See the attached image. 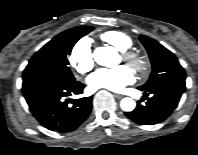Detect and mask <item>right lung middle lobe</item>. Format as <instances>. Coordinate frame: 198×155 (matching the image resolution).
I'll return each instance as SVG.
<instances>
[{
  "label": "right lung middle lobe",
  "mask_w": 198,
  "mask_h": 155,
  "mask_svg": "<svg viewBox=\"0 0 198 155\" xmlns=\"http://www.w3.org/2000/svg\"><path fill=\"white\" fill-rule=\"evenodd\" d=\"M92 30L90 26H79L54 37L30 59L23 72V80L45 78L61 83L75 82L68 67V55L74 44Z\"/></svg>",
  "instance_id": "obj_1"
}]
</instances>
